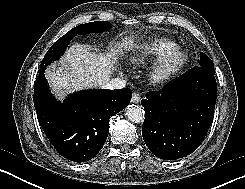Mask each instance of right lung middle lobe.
<instances>
[{"mask_svg":"<svg viewBox=\"0 0 245 189\" xmlns=\"http://www.w3.org/2000/svg\"><path fill=\"white\" fill-rule=\"evenodd\" d=\"M111 28V23L106 21H97L81 24L79 26L74 27L69 32H67L64 36L59 38L48 50L45 57L40 64L41 72H44L46 66L51 62L59 59L65 52L68 43L73 39L76 35L88 34V33H98L109 30Z\"/></svg>","mask_w":245,"mask_h":189,"instance_id":"right-lung-middle-lobe-1","label":"right lung middle lobe"}]
</instances>
